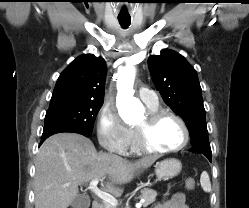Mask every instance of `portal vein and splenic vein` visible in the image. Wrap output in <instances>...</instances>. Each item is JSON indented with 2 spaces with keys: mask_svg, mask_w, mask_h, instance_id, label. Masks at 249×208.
<instances>
[{
  "mask_svg": "<svg viewBox=\"0 0 249 208\" xmlns=\"http://www.w3.org/2000/svg\"><path fill=\"white\" fill-rule=\"evenodd\" d=\"M99 183V179H94L90 182L89 189L95 193L100 199H102L105 203H108L112 206H116L118 204V201L115 197H113L111 194L106 193L102 190H100L97 185ZM144 200H141L139 203L136 204V208H141L142 203Z\"/></svg>",
  "mask_w": 249,
  "mask_h": 208,
  "instance_id": "obj_1",
  "label": "portal vein and splenic vein"
}]
</instances>
